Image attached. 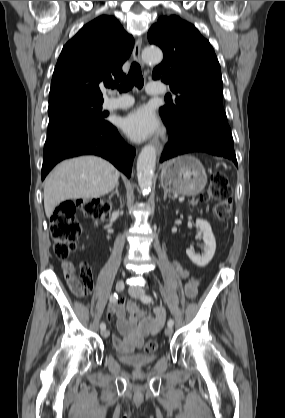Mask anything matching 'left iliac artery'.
I'll return each mask as SVG.
<instances>
[{
    "mask_svg": "<svg viewBox=\"0 0 285 418\" xmlns=\"http://www.w3.org/2000/svg\"><path fill=\"white\" fill-rule=\"evenodd\" d=\"M141 300H142L144 303H151V302L153 301V298H152L151 296H147V295H145V296H143V297L141 298ZM173 324H174V321H173L172 319H169V320H168V322H167V325H168V326H173Z\"/></svg>",
    "mask_w": 285,
    "mask_h": 418,
    "instance_id": "left-iliac-artery-1",
    "label": "left iliac artery"
}]
</instances>
